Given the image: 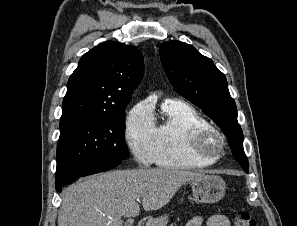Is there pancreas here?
<instances>
[{"label":"pancreas","instance_id":"1","mask_svg":"<svg viewBox=\"0 0 297 226\" xmlns=\"http://www.w3.org/2000/svg\"><path fill=\"white\" fill-rule=\"evenodd\" d=\"M170 226H175V224H174V223H172V224H170Z\"/></svg>","mask_w":297,"mask_h":226}]
</instances>
